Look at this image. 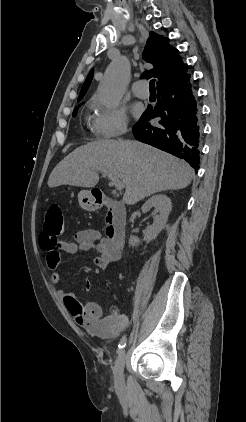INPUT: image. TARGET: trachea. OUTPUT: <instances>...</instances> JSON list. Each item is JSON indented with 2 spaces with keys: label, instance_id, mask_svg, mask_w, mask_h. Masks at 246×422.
I'll return each instance as SVG.
<instances>
[{
  "label": "trachea",
  "instance_id": "trachea-1",
  "mask_svg": "<svg viewBox=\"0 0 246 422\" xmlns=\"http://www.w3.org/2000/svg\"><path fill=\"white\" fill-rule=\"evenodd\" d=\"M150 90H155V79H152L149 83Z\"/></svg>",
  "mask_w": 246,
  "mask_h": 422
}]
</instances>
